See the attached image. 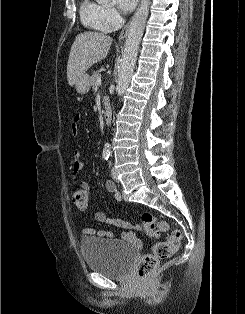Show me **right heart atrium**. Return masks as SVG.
Segmentation results:
<instances>
[{"mask_svg":"<svg viewBox=\"0 0 245 314\" xmlns=\"http://www.w3.org/2000/svg\"><path fill=\"white\" fill-rule=\"evenodd\" d=\"M119 22V14L113 7H103L102 24L106 30L114 28Z\"/></svg>","mask_w":245,"mask_h":314,"instance_id":"d8ad5b80","label":"right heart atrium"}]
</instances>
